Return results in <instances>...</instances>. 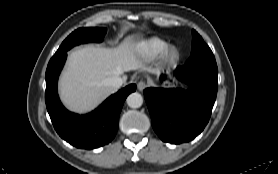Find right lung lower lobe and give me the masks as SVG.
Here are the masks:
<instances>
[{
  "mask_svg": "<svg viewBox=\"0 0 278 174\" xmlns=\"http://www.w3.org/2000/svg\"><path fill=\"white\" fill-rule=\"evenodd\" d=\"M66 57V51L54 54L46 70L45 100L53 126L61 138L78 148L93 149L108 144L117 133L123 103L136 90V85L121 89L87 115L71 113L63 107L57 93V80Z\"/></svg>",
  "mask_w": 278,
  "mask_h": 174,
  "instance_id": "right-lung-lower-lobe-1",
  "label": "right lung lower lobe"
}]
</instances>
